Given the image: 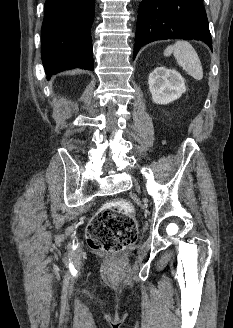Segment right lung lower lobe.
<instances>
[{
    "instance_id": "98d812e1",
    "label": "right lung lower lobe",
    "mask_w": 233,
    "mask_h": 328,
    "mask_svg": "<svg viewBox=\"0 0 233 328\" xmlns=\"http://www.w3.org/2000/svg\"><path fill=\"white\" fill-rule=\"evenodd\" d=\"M95 0H46L41 55L48 76L94 69L91 26Z\"/></svg>"
}]
</instances>
